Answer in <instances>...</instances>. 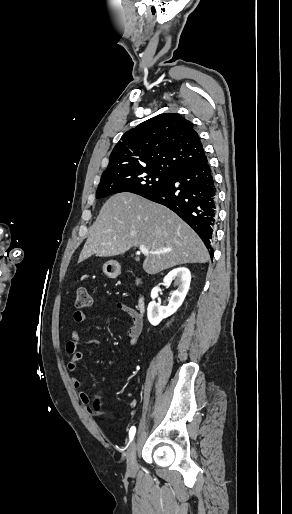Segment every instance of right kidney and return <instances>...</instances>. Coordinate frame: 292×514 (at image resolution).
<instances>
[{"label": "right kidney", "instance_id": "ca27d5eb", "mask_svg": "<svg viewBox=\"0 0 292 514\" xmlns=\"http://www.w3.org/2000/svg\"><path fill=\"white\" fill-rule=\"evenodd\" d=\"M172 280H175V286H178V288L171 294L168 306H160V304H156V302H150V304H148L147 316L152 326H157L163 318L172 316V314L180 308L182 302H184L191 282V274L188 268H175V270L169 272L163 280L164 286H170ZM158 292L159 288H153L151 292V298H153V300L157 298Z\"/></svg>", "mask_w": 292, "mask_h": 514}]
</instances>
